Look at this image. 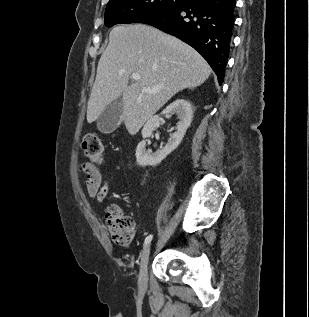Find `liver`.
<instances>
[{
  "instance_id": "1",
  "label": "liver",
  "mask_w": 309,
  "mask_h": 317,
  "mask_svg": "<svg viewBox=\"0 0 309 317\" xmlns=\"http://www.w3.org/2000/svg\"><path fill=\"white\" fill-rule=\"evenodd\" d=\"M133 73L140 79L129 84ZM211 74L204 58L191 46L154 27L118 25L100 57L87 104V121L98 119L122 96V120L135 135L175 94L203 84ZM159 88L156 93L143 91Z\"/></svg>"
}]
</instances>
